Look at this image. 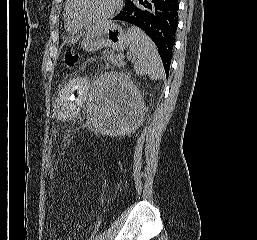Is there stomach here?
<instances>
[{"label":"stomach","mask_w":257,"mask_h":240,"mask_svg":"<svg viewBox=\"0 0 257 240\" xmlns=\"http://www.w3.org/2000/svg\"><path fill=\"white\" fill-rule=\"evenodd\" d=\"M127 45V35L123 29L112 21L102 22L91 28L81 43L87 52L110 47L114 51H122Z\"/></svg>","instance_id":"obj_1"}]
</instances>
